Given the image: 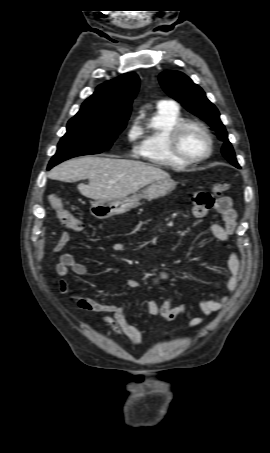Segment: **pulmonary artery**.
I'll use <instances>...</instances> for the list:
<instances>
[{"label":"pulmonary artery","instance_id":"obj_1","mask_svg":"<svg viewBox=\"0 0 270 453\" xmlns=\"http://www.w3.org/2000/svg\"><path fill=\"white\" fill-rule=\"evenodd\" d=\"M170 105H173V104L169 101H160L158 103V107H166V106H170Z\"/></svg>","mask_w":270,"mask_h":453}]
</instances>
